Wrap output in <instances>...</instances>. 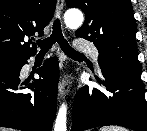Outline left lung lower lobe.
I'll list each match as a JSON object with an SVG mask.
<instances>
[{
	"label": "left lung lower lobe",
	"mask_w": 147,
	"mask_h": 131,
	"mask_svg": "<svg viewBox=\"0 0 147 131\" xmlns=\"http://www.w3.org/2000/svg\"><path fill=\"white\" fill-rule=\"evenodd\" d=\"M105 88L82 87L73 106L71 131L97 126L119 125L135 131H147V102L140 77L111 66H100Z\"/></svg>",
	"instance_id": "0a47b994"
}]
</instances>
